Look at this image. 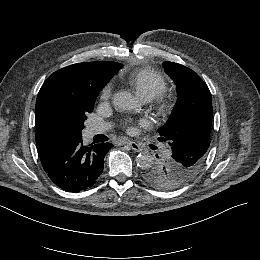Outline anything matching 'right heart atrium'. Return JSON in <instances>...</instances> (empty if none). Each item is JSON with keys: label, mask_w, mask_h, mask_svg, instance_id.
I'll return each mask as SVG.
<instances>
[{"label": "right heart atrium", "mask_w": 260, "mask_h": 260, "mask_svg": "<svg viewBox=\"0 0 260 260\" xmlns=\"http://www.w3.org/2000/svg\"><path fill=\"white\" fill-rule=\"evenodd\" d=\"M114 88L111 84H106L100 91V99L108 101L113 95Z\"/></svg>", "instance_id": "d8ad5b80"}]
</instances>
